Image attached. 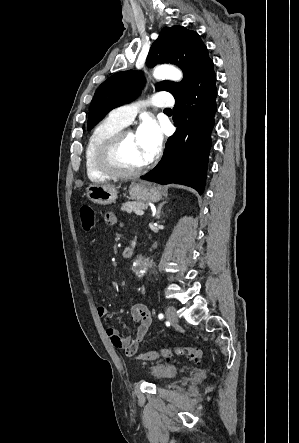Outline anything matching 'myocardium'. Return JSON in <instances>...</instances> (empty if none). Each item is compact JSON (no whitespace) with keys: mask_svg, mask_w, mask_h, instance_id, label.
Listing matches in <instances>:
<instances>
[{"mask_svg":"<svg viewBox=\"0 0 299 443\" xmlns=\"http://www.w3.org/2000/svg\"><path fill=\"white\" fill-rule=\"evenodd\" d=\"M133 132L122 129L107 139L99 148L97 164L102 172L114 178H130L144 172L149 167V162L135 169H125L117 163V155L126 136Z\"/></svg>","mask_w":299,"mask_h":443,"instance_id":"f54148a6","label":"myocardium"}]
</instances>
